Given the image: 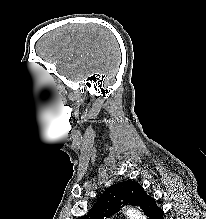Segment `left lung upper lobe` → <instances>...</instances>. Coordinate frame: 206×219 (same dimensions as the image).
Here are the masks:
<instances>
[{"label": "left lung upper lobe", "instance_id": "5c2ea615", "mask_svg": "<svg viewBox=\"0 0 206 219\" xmlns=\"http://www.w3.org/2000/svg\"><path fill=\"white\" fill-rule=\"evenodd\" d=\"M152 197L148 196L144 188L137 182L127 180L109 187L98 199L89 212L78 219L110 218L123 205L139 206L147 215Z\"/></svg>", "mask_w": 206, "mask_h": 219}]
</instances>
